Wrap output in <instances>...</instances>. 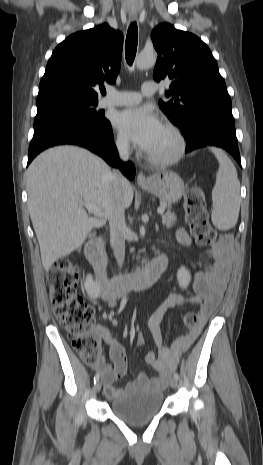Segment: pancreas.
Segmentation results:
<instances>
[{
  "mask_svg": "<svg viewBox=\"0 0 263 465\" xmlns=\"http://www.w3.org/2000/svg\"><path fill=\"white\" fill-rule=\"evenodd\" d=\"M176 221H177V217L172 212H167L163 216V220H162L163 224L166 225L167 228L173 227L176 224Z\"/></svg>",
  "mask_w": 263,
  "mask_h": 465,
  "instance_id": "1",
  "label": "pancreas"
}]
</instances>
